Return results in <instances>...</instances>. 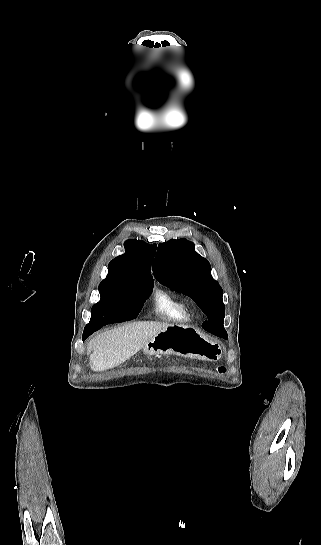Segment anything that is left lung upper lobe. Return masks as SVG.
I'll use <instances>...</instances> for the list:
<instances>
[{
    "mask_svg": "<svg viewBox=\"0 0 321 545\" xmlns=\"http://www.w3.org/2000/svg\"><path fill=\"white\" fill-rule=\"evenodd\" d=\"M152 269L161 284L192 298L206 315L218 312L225 316L223 290L212 278L209 262L194 250V243L186 239L160 243Z\"/></svg>",
    "mask_w": 321,
    "mask_h": 545,
    "instance_id": "left-lung-upper-lobe-1",
    "label": "left lung upper lobe"
}]
</instances>
